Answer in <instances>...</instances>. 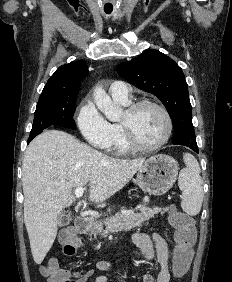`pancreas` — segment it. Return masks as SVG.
Here are the masks:
<instances>
[{"label": "pancreas", "instance_id": "cf45deb5", "mask_svg": "<svg viewBox=\"0 0 232 282\" xmlns=\"http://www.w3.org/2000/svg\"><path fill=\"white\" fill-rule=\"evenodd\" d=\"M167 211L168 208L161 209L160 207H144L141 209L140 213H116L104 221V228L101 229V235L141 227L145 221L150 220L156 214H164Z\"/></svg>", "mask_w": 232, "mask_h": 282}]
</instances>
